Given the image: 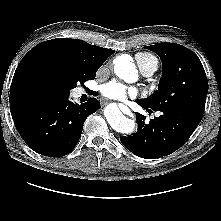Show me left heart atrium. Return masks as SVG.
<instances>
[{"label": "left heart atrium", "mask_w": 221, "mask_h": 221, "mask_svg": "<svg viewBox=\"0 0 221 221\" xmlns=\"http://www.w3.org/2000/svg\"><path fill=\"white\" fill-rule=\"evenodd\" d=\"M101 91L106 98L119 101H124L128 97H134L136 95V92L133 89L116 81L105 84Z\"/></svg>", "instance_id": "39dd6f15"}]
</instances>
